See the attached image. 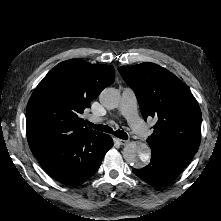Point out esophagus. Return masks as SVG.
Masks as SVG:
<instances>
[{
  "label": "esophagus",
  "mask_w": 221,
  "mask_h": 221,
  "mask_svg": "<svg viewBox=\"0 0 221 221\" xmlns=\"http://www.w3.org/2000/svg\"><path fill=\"white\" fill-rule=\"evenodd\" d=\"M120 145H126L129 141L128 140H123V139H117Z\"/></svg>",
  "instance_id": "34e87169"
}]
</instances>
